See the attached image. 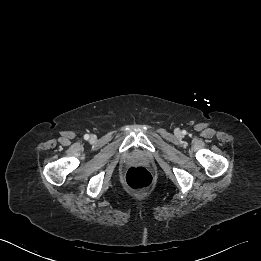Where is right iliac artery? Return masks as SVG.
<instances>
[{"label":"right iliac artery","mask_w":261,"mask_h":261,"mask_svg":"<svg viewBox=\"0 0 261 261\" xmlns=\"http://www.w3.org/2000/svg\"><path fill=\"white\" fill-rule=\"evenodd\" d=\"M84 139H85V140H88V139H89V135H88V134H85V135H84Z\"/></svg>","instance_id":"right-iliac-artery-1"}]
</instances>
